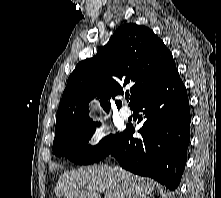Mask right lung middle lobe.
Instances as JSON below:
<instances>
[{"instance_id":"1","label":"right lung middle lobe","mask_w":221,"mask_h":198,"mask_svg":"<svg viewBox=\"0 0 221 198\" xmlns=\"http://www.w3.org/2000/svg\"><path fill=\"white\" fill-rule=\"evenodd\" d=\"M99 123L91 122L73 131L58 135L54 138L53 153L65 156L78 165H88L100 161L112 152L119 144L123 133L115 136L110 134L96 146H89L88 141Z\"/></svg>"}]
</instances>
